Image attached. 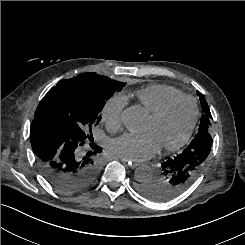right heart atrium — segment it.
<instances>
[{
  "label": "right heart atrium",
  "mask_w": 245,
  "mask_h": 245,
  "mask_svg": "<svg viewBox=\"0 0 245 245\" xmlns=\"http://www.w3.org/2000/svg\"><path fill=\"white\" fill-rule=\"evenodd\" d=\"M126 103L125 97L121 95H114L105 102L102 109V119L110 130L116 131L121 127L122 112Z\"/></svg>",
  "instance_id": "obj_1"
}]
</instances>
